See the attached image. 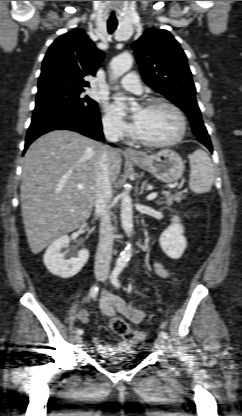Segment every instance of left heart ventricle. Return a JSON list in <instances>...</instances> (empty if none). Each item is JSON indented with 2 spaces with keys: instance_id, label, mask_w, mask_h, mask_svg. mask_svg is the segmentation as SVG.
Instances as JSON below:
<instances>
[{
  "instance_id": "obj_1",
  "label": "left heart ventricle",
  "mask_w": 242,
  "mask_h": 416,
  "mask_svg": "<svg viewBox=\"0 0 242 416\" xmlns=\"http://www.w3.org/2000/svg\"><path fill=\"white\" fill-rule=\"evenodd\" d=\"M135 132L149 141H164L173 138L179 131V120L175 113L164 106L151 109L139 108L134 114Z\"/></svg>"
}]
</instances>
